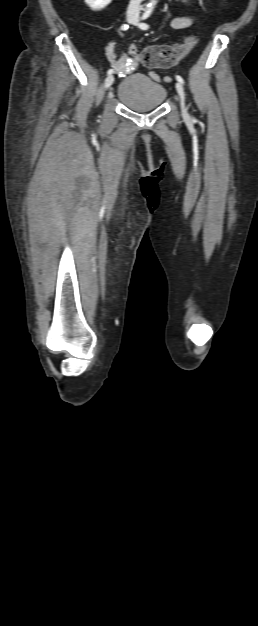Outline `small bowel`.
<instances>
[{
	"label": "small bowel",
	"instance_id": "obj_1",
	"mask_svg": "<svg viewBox=\"0 0 258 626\" xmlns=\"http://www.w3.org/2000/svg\"><path fill=\"white\" fill-rule=\"evenodd\" d=\"M184 4H189L192 0H177ZM195 19L193 17L181 16L174 18L170 25L173 29H184L190 27L194 23ZM107 58L109 62L116 68L118 71H124L131 66L130 58L127 55L119 54L114 43H110L107 46ZM150 77L157 81H161V77L155 72H150ZM170 77H164V81L169 82Z\"/></svg>",
	"mask_w": 258,
	"mask_h": 626
}]
</instances>
